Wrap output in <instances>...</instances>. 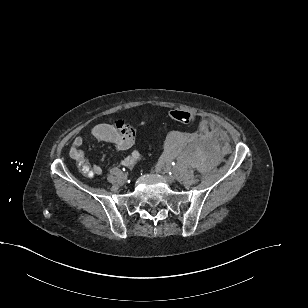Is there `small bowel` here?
I'll use <instances>...</instances> for the list:
<instances>
[{"label":"small bowel","instance_id":"c3829d8e","mask_svg":"<svg viewBox=\"0 0 308 308\" xmlns=\"http://www.w3.org/2000/svg\"><path fill=\"white\" fill-rule=\"evenodd\" d=\"M144 124V123H143ZM87 136H90L99 141L109 142L116 146L118 150L125 151L130 149L135 142V131L123 120H115L112 123H99L91 126L87 131ZM85 137L77 136L70 148V156L75 160L84 158L82 149ZM140 158V152L133 150L128 156L122 159L123 166H132ZM102 168L99 165L92 167V174L100 175Z\"/></svg>","mask_w":308,"mask_h":308}]
</instances>
